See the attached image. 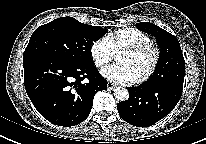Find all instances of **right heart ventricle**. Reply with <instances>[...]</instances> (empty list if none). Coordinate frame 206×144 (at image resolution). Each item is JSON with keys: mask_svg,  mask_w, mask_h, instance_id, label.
<instances>
[{"mask_svg": "<svg viewBox=\"0 0 206 144\" xmlns=\"http://www.w3.org/2000/svg\"><path fill=\"white\" fill-rule=\"evenodd\" d=\"M106 38L113 51L120 50L130 45H138L150 42V38L147 34L132 27L118 29L108 34Z\"/></svg>", "mask_w": 206, "mask_h": 144, "instance_id": "1", "label": "right heart ventricle"}]
</instances>
